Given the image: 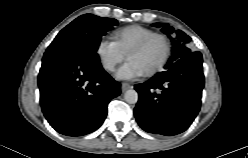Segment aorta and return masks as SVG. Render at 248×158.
I'll use <instances>...</instances> for the list:
<instances>
[{
  "mask_svg": "<svg viewBox=\"0 0 248 158\" xmlns=\"http://www.w3.org/2000/svg\"><path fill=\"white\" fill-rule=\"evenodd\" d=\"M124 100L129 104H135L138 101V93L133 90H127L124 94Z\"/></svg>",
  "mask_w": 248,
  "mask_h": 158,
  "instance_id": "1",
  "label": "aorta"
}]
</instances>
